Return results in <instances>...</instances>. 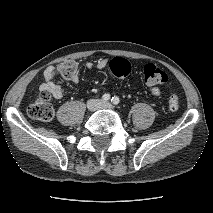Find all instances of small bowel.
<instances>
[{
  "label": "small bowel",
  "instance_id": "c3829d8e",
  "mask_svg": "<svg viewBox=\"0 0 213 213\" xmlns=\"http://www.w3.org/2000/svg\"><path fill=\"white\" fill-rule=\"evenodd\" d=\"M109 64L108 59H100L96 63L88 62L86 64L87 69L97 68L99 70L104 69ZM57 73V69L55 66H48L43 72V82L40 85V89L42 91H47L51 94L54 99H61L63 97V89L60 84L54 81V77ZM73 82L78 80V77L75 76L71 79ZM151 94L154 96L160 95V90L157 87H152L150 90Z\"/></svg>",
  "mask_w": 213,
  "mask_h": 213
}]
</instances>
